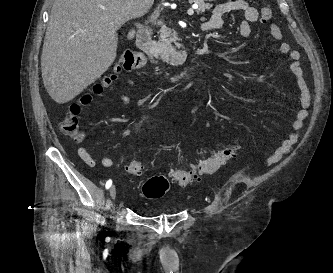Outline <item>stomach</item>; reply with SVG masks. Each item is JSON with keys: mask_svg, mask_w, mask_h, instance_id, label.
<instances>
[{"mask_svg": "<svg viewBox=\"0 0 333 273\" xmlns=\"http://www.w3.org/2000/svg\"><path fill=\"white\" fill-rule=\"evenodd\" d=\"M206 1L212 2V1H215V0H206Z\"/></svg>", "mask_w": 333, "mask_h": 273, "instance_id": "stomach-1", "label": "stomach"}]
</instances>
